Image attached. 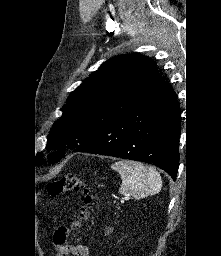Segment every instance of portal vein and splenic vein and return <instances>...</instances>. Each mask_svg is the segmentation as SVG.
Here are the masks:
<instances>
[{
	"mask_svg": "<svg viewBox=\"0 0 221 256\" xmlns=\"http://www.w3.org/2000/svg\"><path fill=\"white\" fill-rule=\"evenodd\" d=\"M128 199H129L128 196H124V197L121 198V202H124L125 200H128Z\"/></svg>",
	"mask_w": 221,
	"mask_h": 256,
	"instance_id": "1",
	"label": "portal vein and splenic vein"
}]
</instances>
